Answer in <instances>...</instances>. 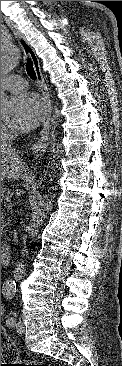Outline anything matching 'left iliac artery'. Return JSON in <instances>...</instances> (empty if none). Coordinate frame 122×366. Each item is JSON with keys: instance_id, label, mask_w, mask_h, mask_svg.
I'll return each mask as SVG.
<instances>
[{"instance_id": "left-iliac-artery-1", "label": "left iliac artery", "mask_w": 122, "mask_h": 366, "mask_svg": "<svg viewBox=\"0 0 122 366\" xmlns=\"http://www.w3.org/2000/svg\"><path fill=\"white\" fill-rule=\"evenodd\" d=\"M6 324H7V326H9V327H14V326L16 325V320H15V318H12V317L8 318V319L6 320Z\"/></svg>"}]
</instances>
